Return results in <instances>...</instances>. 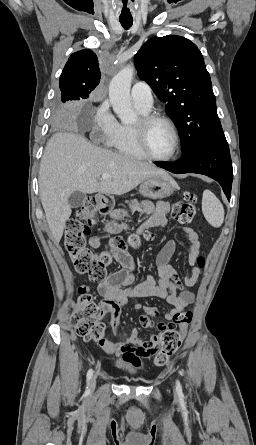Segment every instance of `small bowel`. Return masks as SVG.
<instances>
[{"label":"small bowel","mask_w":256,"mask_h":445,"mask_svg":"<svg viewBox=\"0 0 256 445\" xmlns=\"http://www.w3.org/2000/svg\"><path fill=\"white\" fill-rule=\"evenodd\" d=\"M169 204L165 201H158L155 204V211L141 225V230H147L153 227L166 226L168 224ZM125 225L108 223L104 233H114L125 229ZM182 233L186 236L189 244L188 262L194 265L200 253V242L197 233L190 227H182ZM90 247L97 249L102 246L101 234H96L89 239ZM176 243L169 240L162 247L156 257L158 268V277L148 276L142 282H135V263L133 259L123 250L107 248L112 253L114 260L122 265L123 269L110 274L104 281L98 285V293L104 297L102 303L101 321H105L106 315L110 314L109 324L113 331L120 327L121 309L132 299H141L145 297H158L165 299L173 306V309L165 314V321L161 319L159 310L154 306L135 304L134 308L140 311L139 323L143 328L157 327L158 334H152L144 337L138 328L133 329L129 339L118 343L105 342L103 350L107 354H121L122 361L132 368L140 369L142 367L141 358L151 355L158 347L162 333L170 327L175 328V317L182 313L185 308L193 303L195 296L189 291L188 287H193L200 276L201 270L198 267L193 268L190 274L184 275L181 279L177 276L175 270L169 265L171 257L174 255ZM183 335L186 328H180Z\"/></svg>","instance_id":"small-bowel-1"}]
</instances>
